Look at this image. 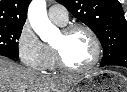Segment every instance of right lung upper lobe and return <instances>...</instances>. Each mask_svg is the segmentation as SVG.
<instances>
[{
    "instance_id": "right-lung-upper-lobe-1",
    "label": "right lung upper lobe",
    "mask_w": 127,
    "mask_h": 92,
    "mask_svg": "<svg viewBox=\"0 0 127 92\" xmlns=\"http://www.w3.org/2000/svg\"><path fill=\"white\" fill-rule=\"evenodd\" d=\"M31 0H0V26H23Z\"/></svg>"
}]
</instances>
